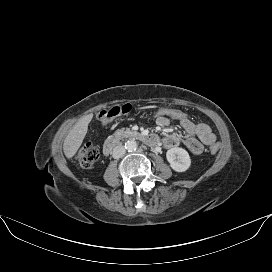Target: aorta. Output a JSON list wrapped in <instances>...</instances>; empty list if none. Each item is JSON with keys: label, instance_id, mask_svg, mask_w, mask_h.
<instances>
[{"label": "aorta", "instance_id": "1", "mask_svg": "<svg viewBox=\"0 0 272 272\" xmlns=\"http://www.w3.org/2000/svg\"><path fill=\"white\" fill-rule=\"evenodd\" d=\"M137 142L135 140H128L126 143H125V149L128 151V152H133V151H136L137 149Z\"/></svg>", "mask_w": 272, "mask_h": 272}]
</instances>
